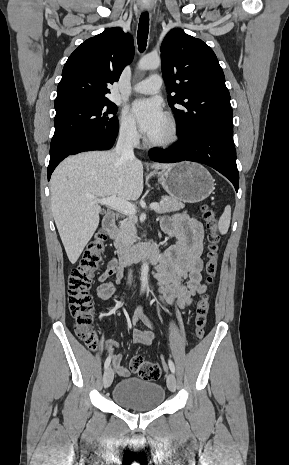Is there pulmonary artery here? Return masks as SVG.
I'll return each mask as SVG.
<instances>
[{
	"label": "pulmonary artery",
	"mask_w": 289,
	"mask_h": 465,
	"mask_svg": "<svg viewBox=\"0 0 289 465\" xmlns=\"http://www.w3.org/2000/svg\"><path fill=\"white\" fill-rule=\"evenodd\" d=\"M160 75L153 74L133 87V91L140 94H153L160 91L162 87Z\"/></svg>",
	"instance_id": "pulmonary-artery-1"
}]
</instances>
